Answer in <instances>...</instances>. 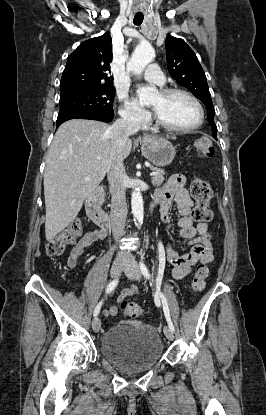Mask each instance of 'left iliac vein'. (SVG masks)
<instances>
[{
  "label": "left iliac vein",
  "instance_id": "1",
  "mask_svg": "<svg viewBox=\"0 0 266 415\" xmlns=\"http://www.w3.org/2000/svg\"><path fill=\"white\" fill-rule=\"evenodd\" d=\"M125 273L131 280H139L141 278V271L135 259L132 258L129 261V264L125 268ZM164 334L168 340L174 339L173 331L168 326L164 327Z\"/></svg>",
  "mask_w": 266,
  "mask_h": 415
}]
</instances>
